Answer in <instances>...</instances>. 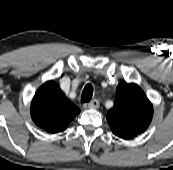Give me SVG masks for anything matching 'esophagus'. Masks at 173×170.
I'll list each match as a JSON object with an SVG mask.
<instances>
[{
	"mask_svg": "<svg viewBox=\"0 0 173 170\" xmlns=\"http://www.w3.org/2000/svg\"><path fill=\"white\" fill-rule=\"evenodd\" d=\"M100 103L97 99L92 100L89 103H85L83 105L84 109H97L99 107Z\"/></svg>",
	"mask_w": 173,
	"mask_h": 170,
	"instance_id": "34e87169",
	"label": "esophagus"
}]
</instances>
